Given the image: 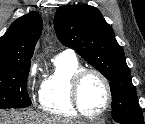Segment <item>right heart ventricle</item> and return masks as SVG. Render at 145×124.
Listing matches in <instances>:
<instances>
[{"label":"right heart ventricle","mask_w":145,"mask_h":124,"mask_svg":"<svg viewBox=\"0 0 145 124\" xmlns=\"http://www.w3.org/2000/svg\"><path fill=\"white\" fill-rule=\"evenodd\" d=\"M54 69L46 76L39 89L40 107L61 118H76L79 114L71 101V79L83 68L75 56L60 54L53 59Z\"/></svg>","instance_id":"obj_1"}]
</instances>
